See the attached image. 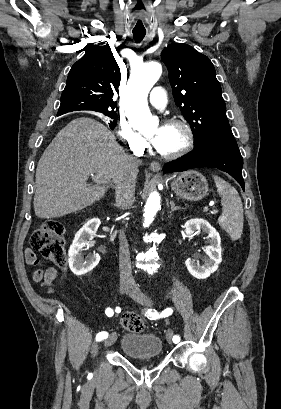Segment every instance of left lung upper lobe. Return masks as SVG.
Listing matches in <instances>:
<instances>
[{
    "mask_svg": "<svg viewBox=\"0 0 281 409\" xmlns=\"http://www.w3.org/2000/svg\"><path fill=\"white\" fill-rule=\"evenodd\" d=\"M161 59L169 71L175 103L190 123L194 146L206 143L237 146L210 59L179 43L165 48Z\"/></svg>",
    "mask_w": 281,
    "mask_h": 409,
    "instance_id": "left-lung-upper-lobe-1",
    "label": "left lung upper lobe"
}]
</instances>
